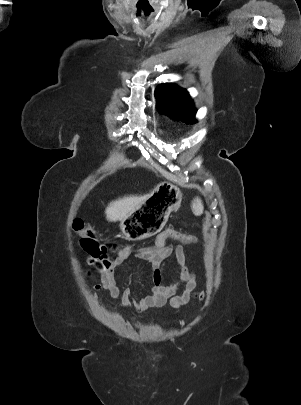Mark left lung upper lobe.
<instances>
[{
	"instance_id": "obj_1",
	"label": "left lung upper lobe",
	"mask_w": 301,
	"mask_h": 405,
	"mask_svg": "<svg viewBox=\"0 0 301 405\" xmlns=\"http://www.w3.org/2000/svg\"><path fill=\"white\" fill-rule=\"evenodd\" d=\"M155 97L156 106L161 113L186 124L196 122V109L185 89L175 84L163 83L157 86Z\"/></svg>"
}]
</instances>
